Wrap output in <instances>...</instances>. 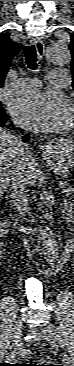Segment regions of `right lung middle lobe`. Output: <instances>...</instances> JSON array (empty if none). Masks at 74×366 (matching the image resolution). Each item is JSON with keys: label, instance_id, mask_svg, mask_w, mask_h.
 <instances>
[{"label": "right lung middle lobe", "instance_id": "obj_1", "mask_svg": "<svg viewBox=\"0 0 74 366\" xmlns=\"http://www.w3.org/2000/svg\"><path fill=\"white\" fill-rule=\"evenodd\" d=\"M3 115H5V112L2 109H0V117H2Z\"/></svg>", "mask_w": 74, "mask_h": 366}]
</instances>
